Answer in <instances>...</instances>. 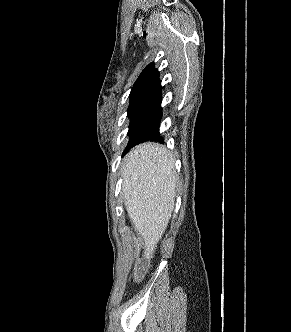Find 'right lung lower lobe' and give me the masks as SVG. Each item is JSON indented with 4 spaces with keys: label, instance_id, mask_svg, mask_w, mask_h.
<instances>
[{
    "label": "right lung lower lobe",
    "instance_id": "obj_1",
    "mask_svg": "<svg viewBox=\"0 0 291 332\" xmlns=\"http://www.w3.org/2000/svg\"><path fill=\"white\" fill-rule=\"evenodd\" d=\"M161 116L160 89L146 98L130 122L129 134L131 137L124 153L136 144L145 140H160L159 123L161 121Z\"/></svg>",
    "mask_w": 291,
    "mask_h": 332
}]
</instances>
